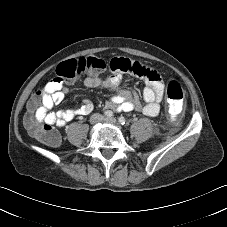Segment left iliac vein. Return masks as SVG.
Listing matches in <instances>:
<instances>
[{"label":"left iliac vein","mask_w":227,"mask_h":227,"mask_svg":"<svg viewBox=\"0 0 227 227\" xmlns=\"http://www.w3.org/2000/svg\"><path fill=\"white\" fill-rule=\"evenodd\" d=\"M104 122L114 125L117 124V120L115 118H105Z\"/></svg>","instance_id":"obj_1"}]
</instances>
